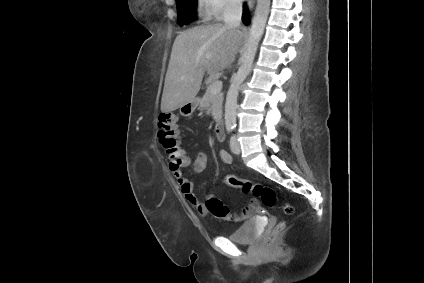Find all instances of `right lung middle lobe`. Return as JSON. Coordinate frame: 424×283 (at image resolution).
I'll return each instance as SVG.
<instances>
[{"instance_id":"1","label":"right lung middle lobe","mask_w":424,"mask_h":283,"mask_svg":"<svg viewBox=\"0 0 424 283\" xmlns=\"http://www.w3.org/2000/svg\"><path fill=\"white\" fill-rule=\"evenodd\" d=\"M177 15L180 26L196 19L197 0H176Z\"/></svg>"}]
</instances>
